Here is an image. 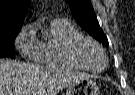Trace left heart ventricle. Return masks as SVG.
I'll use <instances>...</instances> for the list:
<instances>
[{"mask_svg":"<svg viewBox=\"0 0 135 95\" xmlns=\"http://www.w3.org/2000/svg\"><path fill=\"white\" fill-rule=\"evenodd\" d=\"M78 54L83 63L92 69H100L104 64L100 51L88 42H84L79 46Z\"/></svg>","mask_w":135,"mask_h":95,"instance_id":"b2bd125f","label":"left heart ventricle"}]
</instances>
